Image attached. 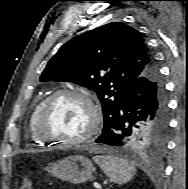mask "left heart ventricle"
<instances>
[{"mask_svg": "<svg viewBox=\"0 0 188 189\" xmlns=\"http://www.w3.org/2000/svg\"><path fill=\"white\" fill-rule=\"evenodd\" d=\"M91 114L87 104L71 96L57 99L44 120V133L49 137L76 138L88 128Z\"/></svg>", "mask_w": 188, "mask_h": 189, "instance_id": "left-heart-ventricle-1", "label": "left heart ventricle"}]
</instances>
